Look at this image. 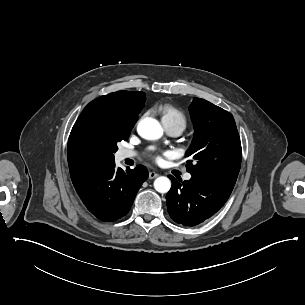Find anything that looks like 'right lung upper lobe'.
<instances>
[{"instance_id":"right-lung-upper-lobe-1","label":"right lung upper lobe","mask_w":305,"mask_h":305,"mask_svg":"<svg viewBox=\"0 0 305 305\" xmlns=\"http://www.w3.org/2000/svg\"><path fill=\"white\" fill-rule=\"evenodd\" d=\"M146 100L143 92L117 91L90 102L75 122L68 140L71 179L100 169V152L92 135L100 130L133 128Z\"/></svg>"}]
</instances>
